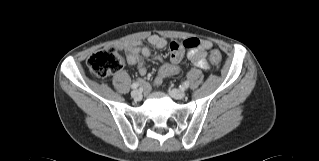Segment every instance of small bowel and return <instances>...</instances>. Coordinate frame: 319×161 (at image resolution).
Here are the masks:
<instances>
[{
    "label": "small bowel",
    "mask_w": 319,
    "mask_h": 161,
    "mask_svg": "<svg viewBox=\"0 0 319 161\" xmlns=\"http://www.w3.org/2000/svg\"><path fill=\"white\" fill-rule=\"evenodd\" d=\"M210 45L211 43L209 41L203 40L198 49L187 53L186 58L198 68H208L209 62L206 59L205 50L208 49ZM150 46L157 49H164L167 46V42L159 35H152L149 37L147 43L124 42L117 44L116 49L124 51L126 53L127 64L133 67L136 66L139 74L145 76L148 73V69L144 64L143 57H149L151 55ZM154 59L162 63L164 62L163 57L160 55L154 56ZM178 72L179 66L177 64H164L159 76L155 80V84H160L162 77Z\"/></svg>",
    "instance_id": "1"
}]
</instances>
